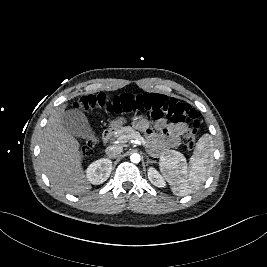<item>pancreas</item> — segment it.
Instances as JSON below:
<instances>
[{
    "mask_svg": "<svg viewBox=\"0 0 267 267\" xmlns=\"http://www.w3.org/2000/svg\"><path fill=\"white\" fill-rule=\"evenodd\" d=\"M116 132L117 133L115 134V137L117 139H119L122 136H133L134 138L143 139V137L140 135V133L135 131L130 126L120 127L119 129H117ZM175 154H176V151L170 150V151L162 153L161 157H162V159L173 160L172 158L175 156Z\"/></svg>",
    "mask_w": 267,
    "mask_h": 267,
    "instance_id": "obj_1",
    "label": "pancreas"
}]
</instances>
